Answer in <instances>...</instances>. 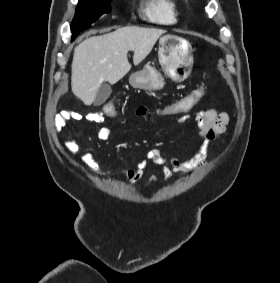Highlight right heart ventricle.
<instances>
[{
    "label": "right heart ventricle",
    "mask_w": 280,
    "mask_h": 283,
    "mask_svg": "<svg viewBox=\"0 0 280 283\" xmlns=\"http://www.w3.org/2000/svg\"><path fill=\"white\" fill-rule=\"evenodd\" d=\"M143 17L161 24H173L178 20L177 0H146Z\"/></svg>",
    "instance_id": "1"
}]
</instances>
